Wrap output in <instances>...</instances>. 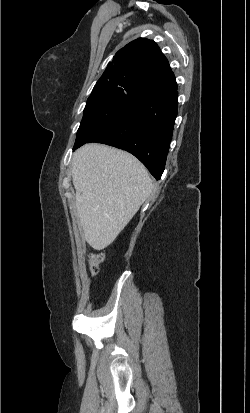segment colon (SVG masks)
<instances>
[{"label": "colon", "instance_id": "colon-1", "mask_svg": "<svg viewBox=\"0 0 250 413\" xmlns=\"http://www.w3.org/2000/svg\"><path fill=\"white\" fill-rule=\"evenodd\" d=\"M104 256L102 254H92L89 258V267L92 274H96L99 269L100 263L103 261Z\"/></svg>", "mask_w": 250, "mask_h": 413}]
</instances>
